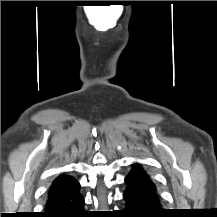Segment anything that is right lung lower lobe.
Listing matches in <instances>:
<instances>
[{"label":"right lung lower lobe","mask_w":217,"mask_h":217,"mask_svg":"<svg viewBox=\"0 0 217 217\" xmlns=\"http://www.w3.org/2000/svg\"><path fill=\"white\" fill-rule=\"evenodd\" d=\"M80 186L69 192L48 197L45 211L38 217H88L84 211V198L79 192Z\"/></svg>","instance_id":"98d812e1"}]
</instances>
